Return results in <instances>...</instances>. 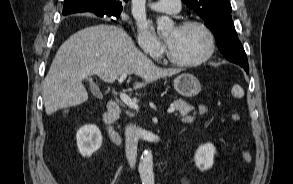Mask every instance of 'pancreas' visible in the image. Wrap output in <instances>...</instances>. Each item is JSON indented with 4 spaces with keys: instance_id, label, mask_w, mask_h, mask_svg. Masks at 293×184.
Wrapping results in <instances>:
<instances>
[{
    "instance_id": "pancreas-1",
    "label": "pancreas",
    "mask_w": 293,
    "mask_h": 184,
    "mask_svg": "<svg viewBox=\"0 0 293 184\" xmlns=\"http://www.w3.org/2000/svg\"><path fill=\"white\" fill-rule=\"evenodd\" d=\"M174 108L180 113L181 116L188 115L194 107L183 101L182 99H178L173 103Z\"/></svg>"
}]
</instances>
